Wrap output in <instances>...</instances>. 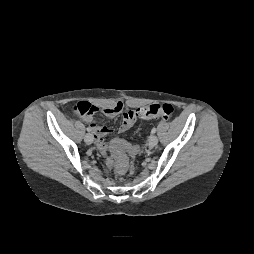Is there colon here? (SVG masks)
<instances>
[{"mask_svg":"<svg viewBox=\"0 0 254 254\" xmlns=\"http://www.w3.org/2000/svg\"><path fill=\"white\" fill-rule=\"evenodd\" d=\"M73 110L77 112L80 116L85 118H90L96 111V107L86 103V102H80L73 106ZM174 112V108L172 105L163 103V104H150L147 106H142L139 108H136L134 110V115L139 118L143 119H163L167 120L169 119ZM118 148L122 146L121 142L117 143ZM118 169L120 172H124L126 169V163L124 161L118 162Z\"/></svg>","mask_w":254,"mask_h":254,"instance_id":"colon-1","label":"colon"}]
</instances>
